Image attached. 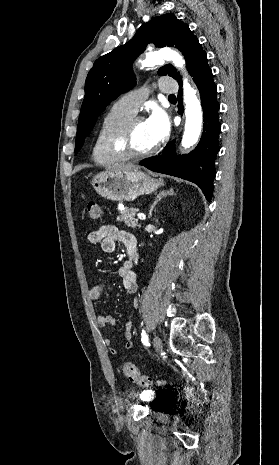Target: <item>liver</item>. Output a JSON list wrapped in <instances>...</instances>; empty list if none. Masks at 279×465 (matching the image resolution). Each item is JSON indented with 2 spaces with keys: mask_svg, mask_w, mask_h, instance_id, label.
I'll list each match as a JSON object with an SVG mask.
<instances>
[{
  "mask_svg": "<svg viewBox=\"0 0 279 465\" xmlns=\"http://www.w3.org/2000/svg\"><path fill=\"white\" fill-rule=\"evenodd\" d=\"M138 167L135 166V165H132V164H125V165H118L116 168H115V171H119V170H133V169H137Z\"/></svg>",
  "mask_w": 279,
  "mask_h": 465,
  "instance_id": "1",
  "label": "liver"
}]
</instances>
